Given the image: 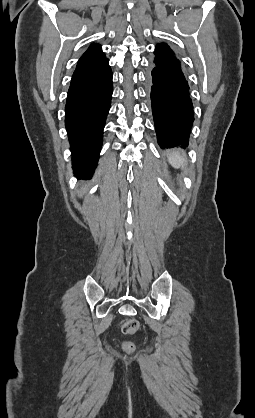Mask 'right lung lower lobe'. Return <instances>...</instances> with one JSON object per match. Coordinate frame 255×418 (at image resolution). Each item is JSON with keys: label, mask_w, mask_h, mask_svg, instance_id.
<instances>
[{"label": "right lung lower lobe", "mask_w": 255, "mask_h": 418, "mask_svg": "<svg viewBox=\"0 0 255 418\" xmlns=\"http://www.w3.org/2000/svg\"><path fill=\"white\" fill-rule=\"evenodd\" d=\"M109 60L78 63L71 79L65 106V126L70 140L74 173L90 177L102 145L110 109L113 83Z\"/></svg>", "instance_id": "obj_1"}]
</instances>
